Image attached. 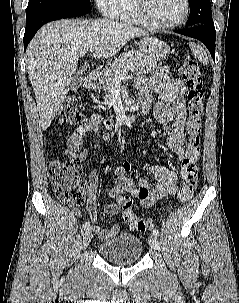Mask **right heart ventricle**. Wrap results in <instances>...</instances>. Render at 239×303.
Listing matches in <instances>:
<instances>
[{
    "instance_id": "right-heart-ventricle-1",
    "label": "right heart ventricle",
    "mask_w": 239,
    "mask_h": 303,
    "mask_svg": "<svg viewBox=\"0 0 239 303\" xmlns=\"http://www.w3.org/2000/svg\"><path fill=\"white\" fill-rule=\"evenodd\" d=\"M115 19L133 24H141L135 13L132 0H124L122 11Z\"/></svg>"
}]
</instances>
